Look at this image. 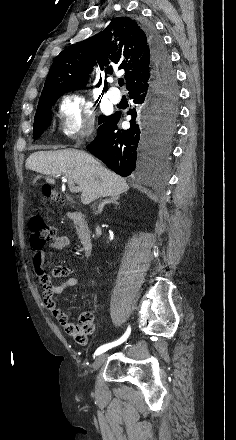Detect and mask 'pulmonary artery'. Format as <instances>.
<instances>
[{
    "label": "pulmonary artery",
    "instance_id": "pulmonary-artery-1",
    "mask_svg": "<svg viewBox=\"0 0 236 440\" xmlns=\"http://www.w3.org/2000/svg\"><path fill=\"white\" fill-rule=\"evenodd\" d=\"M108 97H109V99H110L113 103H118V102H120V100H121V94H120V92H119L117 89H115V88L109 90V92H108Z\"/></svg>",
    "mask_w": 236,
    "mask_h": 440
}]
</instances>
